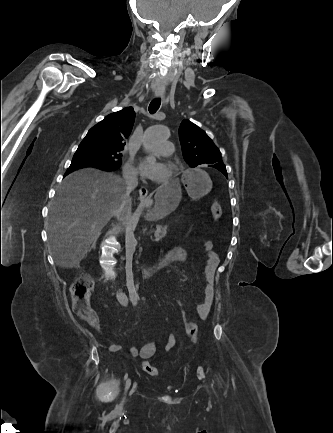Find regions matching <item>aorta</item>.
<instances>
[{"label":"aorta","instance_id":"1","mask_svg":"<svg viewBox=\"0 0 333 433\" xmlns=\"http://www.w3.org/2000/svg\"><path fill=\"white\" fill-rule=\"evenodd\" d=\"M170 138V132L167 128L163 126H152L146 129L144 133L145 145L149 146L155 143L166 142ZM148 162L156 161L155 157H147ZM136 228V220L134 216H131L126 222L125 229V248H126V258H132L135 253L137 241L134 235Z\"/></svg>","mask_w":333,"mask_h":433}]
</instances>
